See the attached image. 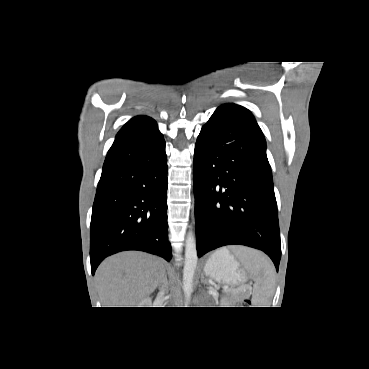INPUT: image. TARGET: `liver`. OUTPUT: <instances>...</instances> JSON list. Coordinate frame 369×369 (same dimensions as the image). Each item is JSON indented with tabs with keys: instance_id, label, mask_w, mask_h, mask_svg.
Here are the masks:
<instances>
[{
	"instance_id": "6515ba94",
	"label": "liver",
	"mask_w": 369,
	"mask_h": 369,
	"mask_svg": "<svg viewBox=\"0 0 369 369\" xmlns=\"http://www.w3.org/2000/svg\"><path fill=\"white\" fill-rule=\"evenodd\" d=\"M165 266L162 259L143 252L128 251L108 257L96 272L103 307L137 305L162 282Z\"/></svg>"
}]
</instances>
